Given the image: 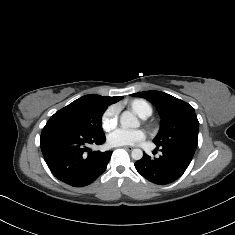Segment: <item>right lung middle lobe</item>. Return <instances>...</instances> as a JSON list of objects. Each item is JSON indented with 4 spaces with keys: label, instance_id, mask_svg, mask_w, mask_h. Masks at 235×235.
<instances>
[{
    "label": "right lung middle lobe",
    "instance_id": "1",
    "mask_svg": "<svg viewBox=\"0 0 235 235\" xmlns=\"http://www.w3.org/2000/svg\"><path fill=\"white\" fill-rule=\"evenodd\" d=\"M104 112L91 110L78 99L57 111L50 121H59L75 126L83 131L95 135H104L101 118Z\"/></svg>",
    "mask_w": 235,
    "mask_h": 235
}]
</instances>
